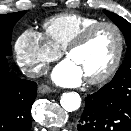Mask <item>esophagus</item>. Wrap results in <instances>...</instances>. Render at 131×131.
<instances>
[{"instance_id":"obj_1","label":"esophagus","mask_w":131,"mask_h":131,"mask_svg":"<svg viewBox=\"0 0 131 131\" xmlns=\"http://www.w3.org/2000/svg\"><path fill=\"white\" fill-rule=\"evenodd\" d=\"M38 91H39V93H41V94H47V93L52 92V89H51L49 86H47V85H45V84H42V85H40V86L38 87Z\"/></svg>"}]
</instances>
